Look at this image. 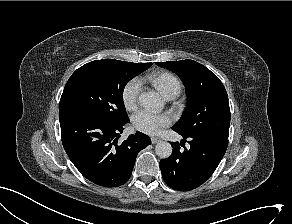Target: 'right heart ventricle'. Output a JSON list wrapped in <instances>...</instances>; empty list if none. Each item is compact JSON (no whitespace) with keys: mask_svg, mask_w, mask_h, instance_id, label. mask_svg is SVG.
Segmentation results:
<instances>
[{"mask_svg":"<svg viewBox=\"0 0 292 224\" xmlns=\"http://www.w3.org/2000/svg\"><path fill=\"white\" fill-rule=\"evenodd\" d=\"M149 80L166 98L177 96L182 89L180 80L169 72L154 74Z\"/></svg>","mask_w":292,"mask_h":224,"instance_id":"right-heart-ventricle-1","label":"right heart ventricle"}]
</instances>
